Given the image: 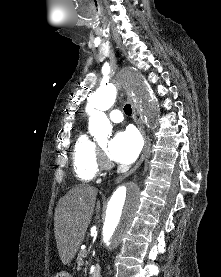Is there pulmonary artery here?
Here are the masks:
<instances>
[{"label":"pulmonary artery","instance_id":"e3ab8cb5","mask_svg":"<svg viewBox=\"0 0 221 277\" xmlns=\"http://www.w3.org/2000/svg\"><path fill=\"white\" fill-rule=\"evenodd\" d=\"M109 118L114 123H120L123 121V115L122 112L118 109L112 110L109 113Z\"/></svg>","mask_w":221,"mask_h":277}]
</instances>
